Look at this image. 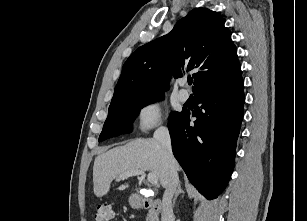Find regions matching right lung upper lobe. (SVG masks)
<instances>
[{
  "mask_svg": "<svg viewBox=\"0 0 307 221\" xmlns=\"http://www.w3.org/2000/svg\"><path fill=\"white\" fill-rule=\"evenodd\" d=\"M225 19L207 8L193 9L172 31L135 50L123 65L111 104L127 96L164 93L170 74L191 70L194 96L242 80L237 49Z\"/></svg>",
  "mask_w": 307,
  "mask_h": 221,
  "instance_id": "cb5924a9",
  "label": "right lung upper lobe"
}]
</instances>
